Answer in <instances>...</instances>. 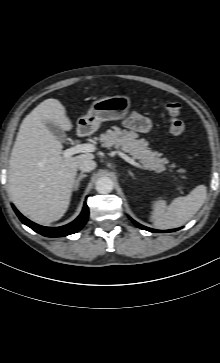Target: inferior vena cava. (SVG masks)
Returning a JSON list of instances; mask_svg holds the SVG:
<instances>
[{"instance_id": "inferior-vena-cava-1", "label": "inferior vena cava", "mask_w": 220, "mask_h": 363, "mask_svg": "<svg viewBox=\"0 0 220 363\" xmlns=\"http://www.w3.org/2000/svg\"><path fill=\"white\" fill-rule=\"evenodd\" d=\"M78 168L82 172H90L96 168V162L93 160L85 159L79 162Z\"/></svg>"}]
</instances>
